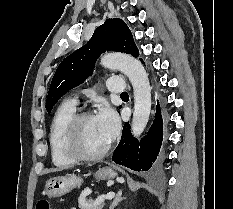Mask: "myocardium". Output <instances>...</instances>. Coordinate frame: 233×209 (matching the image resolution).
I'll return each instance as SVG.
<instances>
[{
	"mask_svg": "<svg viewBox=\"0 0 233 209\" xmlns=\"http://www.w3.org/2000/svg\"><path fill=\"white\" fill-rule=\"evenodd\" d=\"M93 117V114L88 111L76 113L66 125L64 131L63 146L66 154L75 161H95L103 158L111 148V143L108 142L105 147L96 153H85L78 146V132L81 123Z\"/></svg>",
	"mask_w": 233,
	"mask_h": 209,
	"instance_id": "myocardium-1",
	"label": "myocardium"
}]
</instances>
